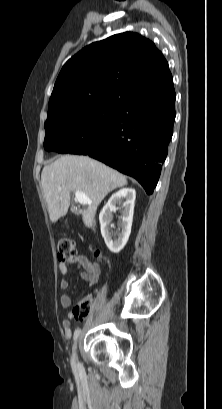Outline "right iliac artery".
I'll return each instance as SVG.
<instances>
[{
  "instance_id": "right-iliac-artery-1",
  "label": "right iliac artery",
  "mask_w": 222,
  "mask_h": 409,
  "mask_svg": "<svg viewBox=\"0 0 222 409\" xmlns=\"http://www.w3.org/2000/svg\"><path fill=\"white\" fill-rule=\"evenodd\" d=\"M80 332H81L80 329H78V330L75 331L74 337H73L74 340H77V338L79 337ZM75 361H76V357H75V354H73V356H72V364H75Z\"/></svg>"
}]
</instances>
